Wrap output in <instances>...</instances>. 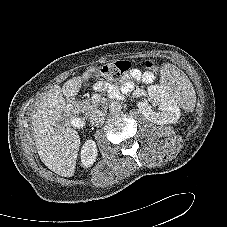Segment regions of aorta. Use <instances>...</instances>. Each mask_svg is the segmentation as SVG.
I'll use <instances>...</instances> for the list:
<instances>
[{
	"label": "aorta",
	"mask_w": 227,
	"mask_h": 227,
	"mask_svg": "<svg viewBox=\"0 0 227 227\" xmlns=\"http://www.w3.org/2000/svg\"><path fill=\"white\" fill-rule=\"evenodd\" d=\"M122 109L121 104L118 101H112L109 105V111L112 113H118Z\"/></svg>",
	"instance_id": "aorta-1"
}]
</instances>
